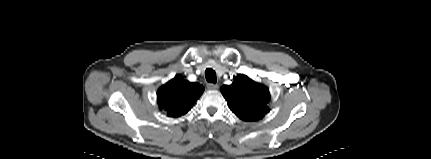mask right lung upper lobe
I'll return each instance as SVG.
<instances>
[{
    "mask_svg": "<svg viewBox=\"0 0 431 159\" xmlns=\"http://www.w3.org/2000/svg\"><path fill=\"white\" fill-rule=\"evenodd\" d=\"M203 91L204 87L199 83H191L176 75L158 90L157 101L168 116L179 117L191 109Z\"/></svg>",
    "mask_w": 431,
    "mask_h": 159,
    "instance_id": "right-lung-upper-lobe-1",
    "label": "right lung upper lobe"
}]
</instances>
